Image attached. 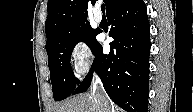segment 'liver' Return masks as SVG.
I'll list each match as a JSON object with an SVG mask.
<instances>
[{"instance_id":"6515ba94","label":"liver","mask_w":193,"mask_h":112,"mask_svg":"<svg viewBox=\"0 0 193 112\" xmlns=\"http://www.w3.org/2000/svg\"><path fill=\"white\" fill-rule=\"evenodd\" d=\"M109 104V102H108ZM109 112H114V107L109 104ZM55 112H101L92 92L67 99L56 106Z\"/></svg>"}]
</instances>
